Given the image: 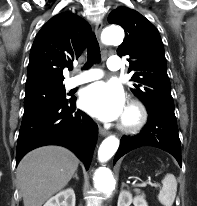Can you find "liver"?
<instances>
[{"label":"liver","instance_id":"obj_1","mask_svg":"<svg viewBox=\"0 0 197 206\" xmlns=\"http://www.w3.org/2000/svg\"><path fill=\"white\" fill-rule=\"evenodd\" d=\"M78 164V158L60 146L40 147L25 155L16 174L24 206H42L68 184Z\"/></svg>","mask_w":197,"mask_h":206}]
</instances>
